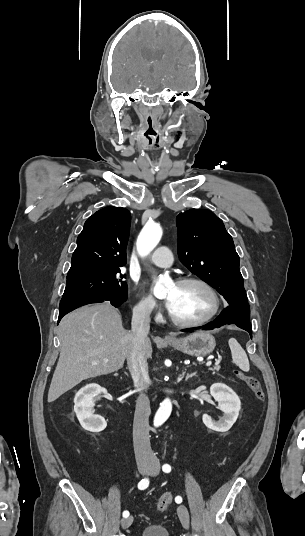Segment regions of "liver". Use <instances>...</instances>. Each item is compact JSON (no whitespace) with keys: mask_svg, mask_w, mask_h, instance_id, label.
<instances>
[{"mask_svg":"<svg viewBox=\"0 0 305 536\" xmlns=\"http://www.w3.org/2000/svg\"><path fill=\"white\" fill-rule=\"evenodd\" d=\"M60 358L48 392V402L80 384L82 380L112 374L123 368L132 346L122 318L110 302L84 306L67 314L59 324ZM151 358L149 338L143 346Z\"/></svg>","mask_w":305,"mask_h":536,"instance_id":"6515ba94","label":"liver"}]
</instances>
